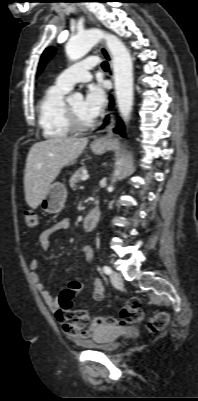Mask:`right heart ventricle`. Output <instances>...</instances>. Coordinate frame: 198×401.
Returning a JSON list of instances; mask_svg holds the SVG:
<instances>
[{
	"mask_svg": "<svg viewBox=\"0 0 198 401\" xmlns=\"http://www.w3.org/2000/svg\"><path fill=\"white\" fill-rule=\"evenodd\" d=\"M68 91L53 84L38 103V122L45 138H65L72 132L65 117V95Z\"/></svg>",
	"mask_w": 198,
	"mask_h": 401,
	"instance_id": "1",
	"label": "right heart ventricle"
}]
</instances>
